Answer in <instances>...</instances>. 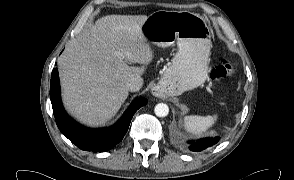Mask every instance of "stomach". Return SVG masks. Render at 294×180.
Listing matches in <instances>:
<instances>
[{
	"mask_svg": "<svg viewBox=\"0 0 294 180\" xmlns=\"http://www.w3.org/2000/svg\"><path fill=\"white\" fill-rule=\"evenodd\" d=\"M148 43L178 52L158 83L162 95L177 96L205 82L211 47V30L200 15L186 11H156L141 27Z\"/></svg>",
	"mask_w": 294,
	"mask_h": 180,
	"instance_id": "0dacf381",
	"label": "stomach"
}]
</instances>
